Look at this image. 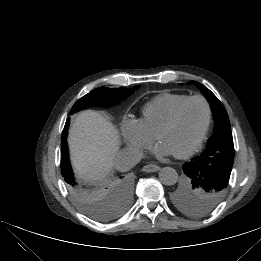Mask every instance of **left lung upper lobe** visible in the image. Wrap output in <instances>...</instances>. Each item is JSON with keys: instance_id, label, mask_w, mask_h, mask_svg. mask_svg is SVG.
I'll list each match as a JSON object with an SVG mask.
<instances>
[{"instance_id": "1", "label": "left lung upper lobe", "mask_w": 261, "mask_h": 261, "mask_svg": "<svg viewBox=\"0 0 261 261\" xmlns=\"http://www.w3.org/2000/svg\"><path fill=\"white\" fill-rule=\"evenodd\" d=\"M194 83L210 103L215 121L214 132L206 150L196 158L200 175L185 177L173 192L174 204L186 214L204 216L212 212L224 198L234 160V145L228 114L218 98L201 83Z\"/></svg>"}]
</instances>
